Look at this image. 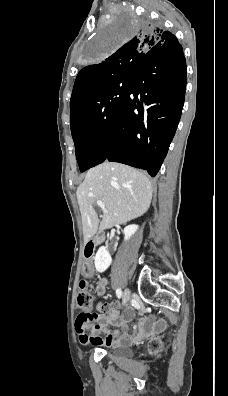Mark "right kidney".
<instances>
[{"instance_id":"right-kidney-1","label":"right kidney","mask_w":228,"mask_h":396,"mask_svg":"<svg viewBox=\"0 0 228 396\" xmlns=\"http://www.w3.org/2000/svg\"><path fill=\"white\" fill-rule=\"evenodd\" d=\"M138 229V225H129L126 226L123 230L124 233V239L125 241L129 240L132 235L135 234V232ZM112 263V259L110 254L108 253L107 249L105 246H101L95 256V268L98 272L102 273L104 272Z\"/></svg>"}]
</instances>
